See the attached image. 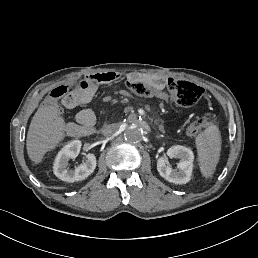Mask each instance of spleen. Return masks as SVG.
<instances>
[{
	"instance_id": "spleen-1",
	"label": "spleen",
	"mask_w": 258,
	"mask_h": 258,
	"mask_svg": "<svg viewBox=\"0 0 258 258\" xmlns=\"http://www.w3.org/2000/svg\"><path fill=\"white\" fill-rule=\"evenodd\" d=\"M199 165L203 176H212L219 161L221 149L220 132L216 126H209L196 137Z\"/></svg>"
}]
</instances>
